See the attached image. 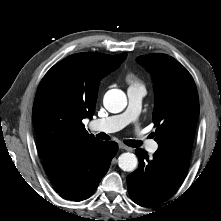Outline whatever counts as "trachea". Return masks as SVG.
Instances as JSON below:
<instances>
[{
	"label": "trachea",
	"instance_id": "1",
	"mask_svg": "<svg viewBox=\"0 0 221 221\" xmlns=\"http://www.w3.org/2000/svg\"><path fill=\"white\" fill-rule=\"evenodd\" d=\"M97 137L102 139V140H109V137L105 133H99L97 135ZM123 142L126 145L130 146V147H139V146H141V142L138 141V140H124Z\"/></svg>",
	"mask_w": 221,
	"mask_h": 221
}]
</instances>
